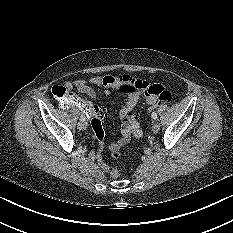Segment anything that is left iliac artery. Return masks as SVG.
I'll return each instance as SVG.
<instances>
[{"label":"left iliac artery","instance_id":"44dca946","mask_svg":"<svg viewBox=\"0 0 233 233\" xmlns=\"http://www.w3.org/2000/svg\"><path fill=\"white\" fill-rule=\"evenodd\" d=\"M152 118H153V119H157V113H156V112H153V113H152Z\"/></svg>","mask_w":233,"mask_h":233}]
</instances>
